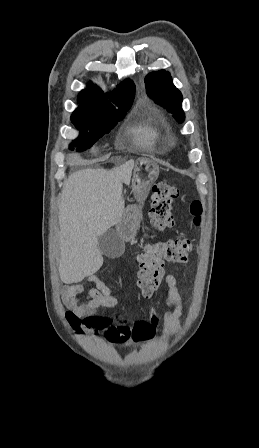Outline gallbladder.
Masks as SVG:
<instances>
[{
  "mask_svg": "<svg viewBox=\"0 0 259 448\" xmlns=\"http://www.w3.org/2000/svg\"><path fill=\"white\" fill-rule=\"evenodd\" d=\"M98 250L107 258H120L124 254L125 244L114 230H107L98 236Z\"/></svg>",
  "mask_w": 259,
  "mask_h": 448,
  "instance_id": "1",
  "label": "gallbladder"
}]
</instances>
